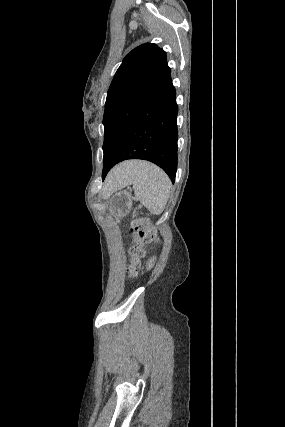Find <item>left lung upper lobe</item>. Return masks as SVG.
Here are the masks:
<instances>
[{
  "instance_id": "left-lung-upper-lobe-1",
  "label": "left lung upper lobe",
  "mask_w": 285,
  "mask_h": 427,
  "mask_svg": "<svg viewBox=\"0 0 285 427\" xmlns=\"http://www.w3.org/2000/svg\"><path fill=\"white\" fill-rule=\"evenodd\" d=\"M170 76L166 53L156 44H142L124 58L111 82L105 104L102 178L110 170L126 127Z\"/></svg>"
}]
</instances>
